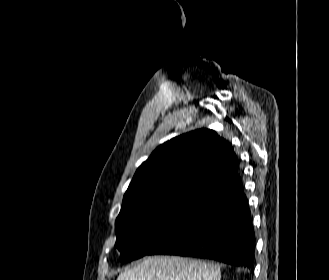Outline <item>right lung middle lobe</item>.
<instances>
[{"label":"right lung middle lobe","instance_id":"right-lung-middle-lobe-1","mask_svg":"<svg viewBox=\"0 0 329 280\" xmlns=\"http://www.w3.org/2000/svg\"><path fill=\"white\" fill-rule=\"evenodd\" d=\"M203 198L176 195L156 198L139 206L122 205L115 223V247L121 261L141 258L170 236L202 203Z\"/></svg>","mask_w":329,"mask_h":280}]
</instances>
